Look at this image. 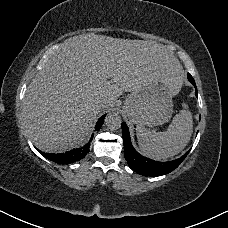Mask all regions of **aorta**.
<instances>
[{"label": "aorta", "mask_w": 228, "mask_h": 228, "mask_svg": "<svg viewBox=\"0 0 228 228\" xmlns=\"http://www.w3.org/2000/svg\"><path fill=\"white\" fill-rule=\"evenodd\" d=\"M121 117L117 113H109L105 118V124L110 130H117L121 127Z\"/></svg>", "instance_id": "762f6f07"}]
</instances>
